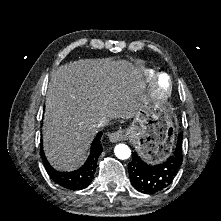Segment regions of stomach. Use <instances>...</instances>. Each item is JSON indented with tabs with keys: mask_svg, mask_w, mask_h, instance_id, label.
Returning <instances> with one entry per match:
<instances>
[{
	"mask_svg": "<svg viewBox=\"0 0 221 221\" xmlns=\"http://www.w3.org/2000/svg\"><path fill=\"white\" fill-rule=\"evenodd\" d=\"M138 153L146 161H161L171 152L175 127L167 108L148 110L140 105L128 129Z\"/></svg>",
	"mask_w": 221,
	"mask_h": 221,
	"instance_id": "stomach-1",
	"label": "stomach"
}]
</instances>
